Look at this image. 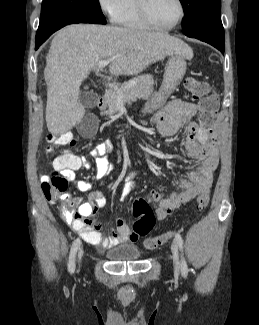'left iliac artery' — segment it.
Returning a JSON list of instances; mask_svg holds the SVG:
<instances>
[{"label": "left iliac artery", "mask_w": 259, "mask_h": 325, "mask_svg": "<svg viewBox=\"0 0 259 325\" xmlns=\"http://www.w3.org/2000/svg\"><path fill=\"white\" fill-rule=\"evenodd\" d=\"M175 240H176L180 250L183 251V239L179 233H176ZM181 273L184 277H186L188 274L187 263H186L183 255H182V259H181Z\"/></svg>", "instance_id": "obj_1"}]
</instances>
